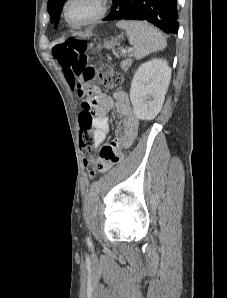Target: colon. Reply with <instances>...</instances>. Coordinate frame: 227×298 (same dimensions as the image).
<instances>
[{
	"label": "colon",
	"mask_w": 227,
	"mask_h": 298,
	"mask_svg": "<svg viewBox=\"0 0 227 298\" xmlns=\"http://www.w3.org/2000/svg\"><path fill=\"white\" fill-rule=\"evenodd\" d=\"M90 45L74 37H67L53 47L52 53L59 65L64 69L66 79L81 99L82 112L80 114L79 147L84 155V164L93 174L94 148L91 132L95 115L91 114V87L99 80L105 87L113 88L121 83V77L109 66L98 68L87 64V52ZM117 163V162H116Z\"/></svg>",
	"instance_id": "5ec220e1"
}]
</instances>
